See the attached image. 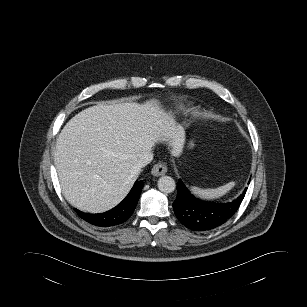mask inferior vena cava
<instances>
[{"label": "inferior vena cava", "mask_w": 307, "mask_h": 307, "mask_svg": "<svg viewBox=\"0 0 307 307\" xmlns=\"http://www.w3.org/2000/svg\"><path fill=\"white\" fill-rule=\"evenodd\" d=\"M153 159V153L152 152H146L144 153L141 158L138 160L135 169L140 171V169L147 164H149Z\"/></svg>", "instance_id": "602c4592"}]
</instances>
